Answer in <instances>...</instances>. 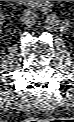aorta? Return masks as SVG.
I'll list each match as a JSON object with an SVG mask.
<instances>
[{
    "label": "aorta",
    "instance_id": "aorta-1",
    "mask_svg": "<svg viewBox=\"0 0 74 122\" xmlns=\"http://www.w3.org/2000/svg\"><path fill=\"white\" fill-rule=\"evenodd\" d=\"M46 26L50 30H55L58 27V19L56 15H49L45 20Z\"/></svg>",
    "mask_w": 74,
    "mask_h": 122
}]
</instances>
